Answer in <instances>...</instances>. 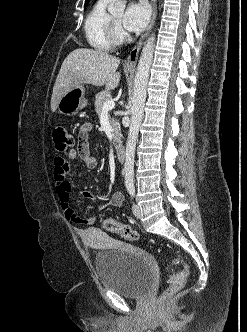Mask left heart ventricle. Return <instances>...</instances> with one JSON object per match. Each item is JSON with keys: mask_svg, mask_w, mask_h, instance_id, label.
I'll return each mask as SVG.
<instances>
[{"mask_svg": "<svg viewBox=\"0 0 247 332\" xmlns=\"http://www.w3.org/2000/svg\"><path fill=\"white\" fill-rule=\"evenodd\" d=\"M112 20L114 21L117 29L119 30V32L123 33L125 32L122 26V19H123V14L122 13H117V14H113L111 15Z\"/></svg>", "mask_w": 247, "mask_h": 332, "instance_id": "b2bd125f", "label": "left heart ventricle"}]
</instances>
